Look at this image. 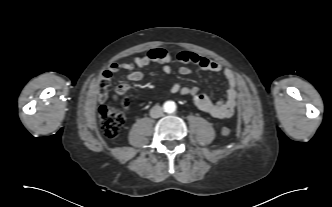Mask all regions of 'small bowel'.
Returning <instances> with one entry per match:
<instances>
[{
  "instance_id": "obj_1",
  "label": "small bowel",
  "mask_w": 332,
  "mask_h": 207,
  "mask_svg": "<svg viewBox=\"0 0 332 207\" xmlns=\"http://www.w3.org/2000/svg\"><path fill=\"white\" fill-rule=\"evenodd\" d=\"M177 59L184 64H195L201 69L210 72H222L227 83L228 89L226 92V98L222 101L214 102L205 93H202L198 87H182L179 83L175 82L171 85L169 93H180L182 95H188L192 97L194 104L204 113L211 115L212 117L223 119L231 117L234 113L238 91L236 88L237 79L235 73L229 69H223L222 66L207 57L201 56L194 52L182 51L178 53ZM172 61L171 55L163 48H155L150 50L146 55L135 57L131 62H114L110 64L107 70L101 74L100 84L103 87L111 80L112 74L126 70L128 71L127 79L129 81L137 82L143 79L144 68H147L152 63L160 64L162 71L169 75L172 73L170 63ZM181 75H187L190 73V69L187 66H182L179 69ZM126 85L120 88V91H125ZM100 97L102 99L101 93Z\"/></svg>"
}]
</instances>
